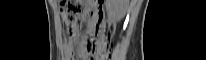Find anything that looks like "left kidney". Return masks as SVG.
<instances>
[{"instance_id":"5707ae66","label":"left kidney","mask_w":206,"mask_h":60,"mask_svg":"<svg viewBox=\"0 0 206 60\" xmlns=\"http://www.w3.org/2000/svg\"><path fill=\"white\" fill-rule=\"evenodd\" d=\"M127 5V0H110L108 1L107 8L116 20H120L126 14Z\"/></svg>"}]
</instances>
